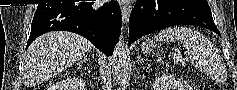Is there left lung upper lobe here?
<instances>
[{"instance_id":"1","label":"left lung upper lobe","mask_w":237,"mask_h":90,"mask_svg":"<svg viewBox=\"0 0 237 90\" xmlns=\"http://www.w3.org/2000/svg\"><path fill=\"white\" fill-rule=\"evenodd\" d=\"M193 3H198V4H207V2L205 0H189Z\"/></svg>"}]
</instances>
